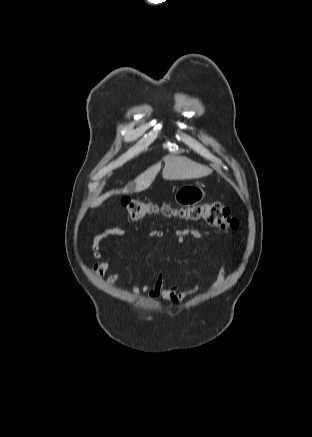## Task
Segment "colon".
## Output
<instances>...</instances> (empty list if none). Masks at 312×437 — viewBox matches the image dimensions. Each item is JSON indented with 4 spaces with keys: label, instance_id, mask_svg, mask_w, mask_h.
I'll return each mask as SVG.
<instances>
[{
    "label": "colon",
    "instance_id": "1",
    "mask_svg": "<svg viewBox=\"0 0 312 437\" xmlns=\"http://www.w3.org/2000/svg\"><path fill=\"white\" fill-rule=\"evenodd\" d=\"M122 204L127 210L129 217L133 221H140L146 216L160 211L164 215L179 214L181 217L193 221L203 220L209 225L219 228L224 232L234 230L238 226V221L232 216L230 210L218 201H209L194 205L177 212L168 204L157 206L156 204L143 200L125 197Z\"/></svg>",
    "mask_w": 312,
    "mask_h": 437
}]
</instances>
